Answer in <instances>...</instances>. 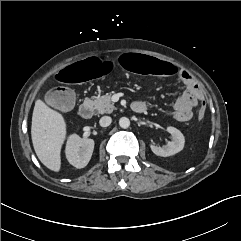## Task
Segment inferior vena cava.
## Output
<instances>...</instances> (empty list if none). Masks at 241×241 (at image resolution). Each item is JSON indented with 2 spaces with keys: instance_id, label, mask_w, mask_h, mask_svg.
Wrapping results in <instances>:
<instances>
[{
  "instance_id": "inferior-vena-cava-1",
  "label": "inferior vena cava",
  "mask_w": 241,
  "mask_h": 241,
  "mask_svg": "<svg viewBox=\"0 0 241 241\" xmlns=\"http://www.w3.org/2000/svg\"><path fill=\"white\" fill-rule=\"evenodd\" d=\"M111 122H112L111 117H109V116H103V117L100 119L99 124H100L101 127H107V126H109V125L111 124Z\"/></svg>"
}]
</instances>
